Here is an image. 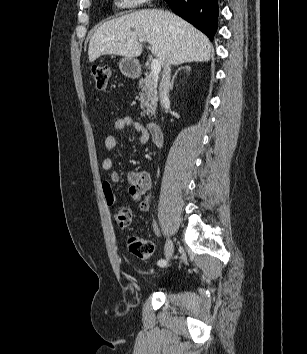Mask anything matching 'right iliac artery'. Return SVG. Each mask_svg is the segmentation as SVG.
<instances>
[{
    "mask_svg": "<svg viewBox=\"0 0 307 354\" xmlns=\"http://www.w3.org/2000/svg\"><path fill=\"white\" fill-rule=\"evenodd\" d=\"M157 264L160 267H164L167 264V262L164 259H161V260H158Z\"/></svg>",
    "mask_w": 307,
    "mask_h": 354,
    "instance_id": "right-iliac-artery-1",
    "label": "right iliac artery"
}]
</instances>
